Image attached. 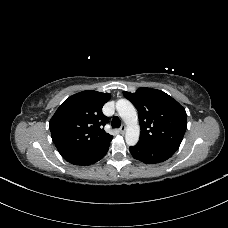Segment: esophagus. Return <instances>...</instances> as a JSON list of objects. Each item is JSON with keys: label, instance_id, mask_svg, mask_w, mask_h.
Returning <instances> with one entry per match:
<instances>
[{"label": "esophagus", "instance_id": "esophagus-1", "mask_svg": "<svg viewBox=\"0 0 228 228\" xmlns=\"http://www.w3.org/2000/svg\"><path fill=\"white\" fill-rule=\"evenodd\" d=\"M125 130H126V125L123 124V125L119 128L120 134H124V133H125Z\"/></svg>", "mask_w": 228, "mask_h": 228}]
</instances>
